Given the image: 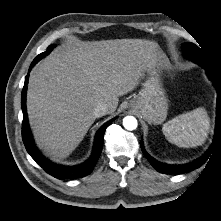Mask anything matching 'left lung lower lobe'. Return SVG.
Instances as JSON below:
<instances>
[{
  "label": "left lung lower lobe",
  "instance_id": "obj_1",
  "mask_svg": "<svg viewBox=\"0 0 221 221\" xmlns=\"http://www.w3.org/2000/svg\"><path fill=\"white\" fill-rule=\"evenodd\" d=\"M207 72L209 78L214 83L215 87L217 88V117H216V131H215V139L209 150L199 159L195 160L194 162L184 164V165H168L161 162H158L154 158H152L144 149L143 143L141 142V149L145 157L148 159L150 164L160 173L164 174H183L190 172L194 169L199 168L201 165L205 163L207 158L210 155V152L212 150V147L214 146L215 142L221 138V84L217 80V78L214 76V73L212 71L211 66L207 63H203L201 65Z\"/></svg>",
  "mask_w": 221,
  "mask_h": 221
}]
</instances>
